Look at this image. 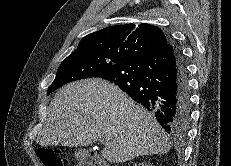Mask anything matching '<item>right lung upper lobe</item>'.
<instances>
[{
  "mask_svg": "<svg viewBox=\"0 0 231 166\" xmlns=\"http://www.w3.org/2000/svg\"><path fill=\"white\" fill-rule=\"evenodd\" d=\"M168 42L159 27L147 23L126 24L106 27L85 36L75 51L91 49L129 60L154 52Z\"/></svg>",
  "mask_w": 231,
  "mask_h": 166,
  "instance_id": "1",
  "label": "right lung upper lobe"
}]
</instances>
